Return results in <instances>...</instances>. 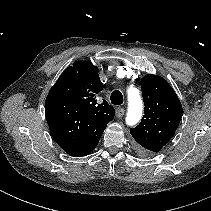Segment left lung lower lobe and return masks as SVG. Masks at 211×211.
<instances>
[{
  "label": "left lung lower lobe",
  "mask_w": 211,
  "mask_h": 211,
  "mask_svg": "<svg viewBox=\"0 0 211 211\" xmlns=\"http://www.w3.org/2000/svg\"><path fill=\"white\" fill-rule=\"evenodd\" d=\"M138 153H139L140 155H142V156H147V155H149L148 152H146L145 150H140V149H138Z\"/></svg>",
  "instance_id": "1"
}]
</instances>
